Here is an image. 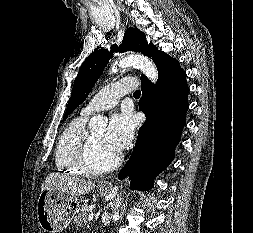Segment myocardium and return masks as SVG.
<instances>
[{
	"label": "myocardium",
	"instance_id": "obj_1",
	"mask_svg": "<svg viewBox=\"0 0 253 233\" xmlns=\"http://www.w3.org/2000/svg\"><path fill=\"white\" fill-rule=\"evenodd\" d=\"M94 141L92 134L84 139L78 153V163L87 173L101 174L113 170L121 161V155L117 154L104 164H99L93 158Z\"/></svg>",
	"mask_w": 253,
	"mask_h": 233
}]
</instances>
